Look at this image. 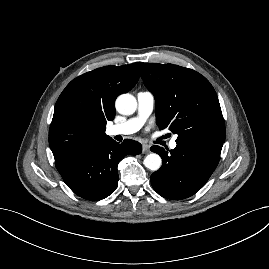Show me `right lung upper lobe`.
<instances>
[{"label": "right lung upper lobe", "instance_id": "cb5924a9", "mask_svg": "<svg viewBox=\"0 0 269 269\" xmlns=\"http://www.w3.org/2000/svg\"><path fill=\"white\" fill-rule=\"evenodd\" d=\"M142 64L98 68L66 86L56 102L49 130L55 161L111 138L105 134V126L115 116V99L135 86Z\"/></svg>", "mask_w": 269, "mask_h": 269}]
</instances>
